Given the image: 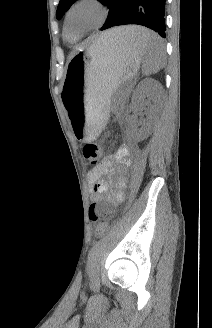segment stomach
<instances>
[{"mask_svg":"<svg viewBox=\"0 0 212 328\" xmlns=\"http://www.w3.org/2000/svg\"><path fill=\"white\" fill-rule=\"evenodd\" d=\"M143 55L142 49L119 38L97 39L74 54L62 100L78 139H96L109 117L112 94L137 74Z\"/></svg>","mask_w":212,"mask_h":328,"instance_id":"obj_1","label":"stomach"}]
</instances>
